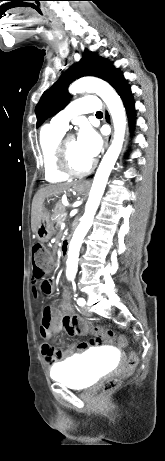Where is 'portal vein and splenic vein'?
Segmentation results:
<instances>
[{"instance_id": "18ae733b", "label": "portal vein and splenic vein", "mask_w": 165, "mask_h": 461, "mask_svg": "<svg viewBox=\"0 0 165 461\" xmlns=\"http://www.w3.org/2000/svg\"><path fill=\"white\" fill-rule=\"evenodd\" d=\"M63 216L66 217V216H67V212H64V213H63Z\"/></svg>"}]
</instances>
